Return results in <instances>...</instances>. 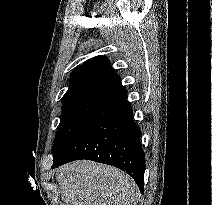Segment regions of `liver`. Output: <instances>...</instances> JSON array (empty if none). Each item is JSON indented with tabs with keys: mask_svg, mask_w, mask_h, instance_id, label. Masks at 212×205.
Listing matches in <instances>:
<instances>
[{
	"mask_svg": "<svg viewBox=\"0 0 212 205\" xmlns=\"http://www.w3.org/2000/svg\"><path fill=\"white\" fill-rule=\"evenodd\" d=\"M56 173L63 205H137L135 181L115 167L81 160Z\"/></svg>",
	"mask_w": 212,
	"mask_h": 205,
	"instance_id": "1",
	"label": "liver"
}]
</instances>
